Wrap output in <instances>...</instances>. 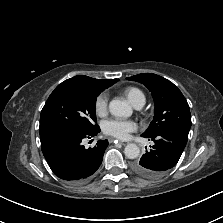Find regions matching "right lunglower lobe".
<instances>
[{"mask_svg": "<svg viewBox=\"0 0 223 223\" xmlns=\"http://www.w3.org/2000/svg\"><path fill=\"white\" fill-rule=\"evenodd\" d=\"M99 132V127L93 131L63 127L40 133L42 152L53 173L74 184L88 181L101 165L108 141L99 140L95 147L86 149L82 140Z\"/></svg>", "mask_w": 223, "mask_h": 223, "instance_id": "obj_1", "label": "right lung lower lobe"}]
</instances>
